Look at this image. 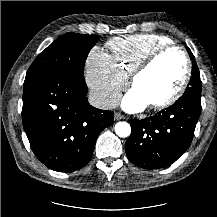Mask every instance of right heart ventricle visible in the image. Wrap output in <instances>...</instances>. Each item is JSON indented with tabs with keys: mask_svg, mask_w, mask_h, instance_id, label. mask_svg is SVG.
Here are the masks:
<instances>
[{
	"mask_svg": "<svg viewBox=\"0 0 217 217\" xmlns=\"http://www.w3.org/2000/svg\"><path fill=\"white\" fill-rule=\"evenodd\" d=\"M172 44V40L162 34H136L115 37L107 42L113 66L126 78L154 50Z\"/></svg>",
	"mask_w": 217,
	"mask_h": 217,
	"instance_id": "obj_1",
	"label": "right heart ventricle"
}]
</instances>
